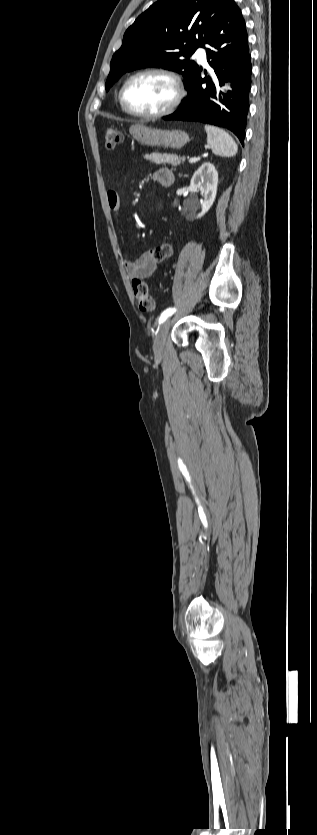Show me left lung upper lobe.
Returning <instances> with one entry per match:
<instances>
[{
    "instance_id": "obj_1",
    "label": "left lung upper lobe",
    "mask_w": 317,
    "mask_h": 835,
    "mask_svg": "<svg viewBox=\"0 0 317 835\" xmlns=\"http://www.w3.org/2000/svg\"><path fill=\"white\" fill-rule=\"evenodd\" d=\"M230 0H160L126 30L111 60L106 91L126 72L162 67L183 75L185 86L198 65L189 60L218 27ZM185 57V58H184Z\"/></svg>"
}]
</instances>
